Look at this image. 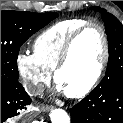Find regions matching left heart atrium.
Masks as SVG:
<instances>
[{"label":"left heart atrium","mask_w":123,"mask_h":123,"mask_svg":"<svg viewBox=\"0 0 123 123\" xmlns=\"http://www.w3.org/2000/svg\"><path fill=\"white\" fill-rule=\"evenodd\" d=\"M57 91H58V92H64V89H63L60 85H58V86H57Z\"/></svg>","instance_id":"left-heart-atrium-1"}]
</instances>
